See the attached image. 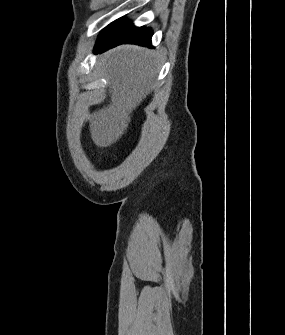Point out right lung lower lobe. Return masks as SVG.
<instances>
[{
  "label": "right lung lower lobe",
  "mask_w": 285,
  "mask_h": 335,
  "mask_svg": "<svg viewBox=\"0 0 285 335\" xmlns=\"http://www.w3.org/2000/svg\"><path fill=\"white\" fill-rule=\"evenodd\" d=\"M152 31L149 28L135 27L128 21H115L107 26L95 45V53L103 52L120 44H137L151 47Z\"/></svg>",
  "instance_id": "1"
}]
</instances>
